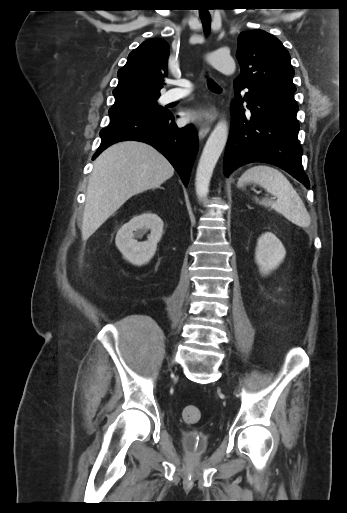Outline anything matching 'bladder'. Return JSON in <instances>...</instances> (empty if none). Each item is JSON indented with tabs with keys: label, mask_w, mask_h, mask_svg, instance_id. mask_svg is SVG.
I'll return each mask as SVG.
<instances>
[{
	"label": "bladder",
	"mask_w": 347,
	"mask_h": 513,
	"mask_svg": "<svg viewBox=\"0 0 347 513\" xmlns=\"http://www.w3.org/2000/svg\"><path fill=\"white\" fill-rule=\"evenodd\" d=\"M183 448L193 455H202L209 448V439L205 434L195 430H185L182 433Z\"/></svg>",
	"instance_id": "31cf9c89"
}]
</instances>
